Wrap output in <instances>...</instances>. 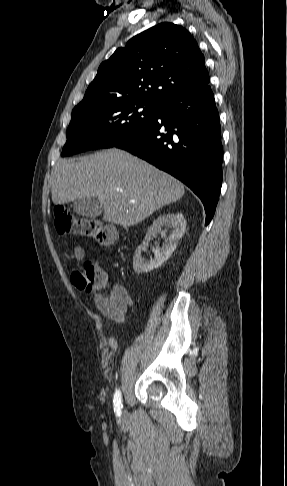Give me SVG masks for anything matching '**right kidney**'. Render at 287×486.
I'll list each match as a JSON object with an SVG mask.
<instances>
[{
  "label": "right kidney",
  "instance_id": "right-kidney-1",
  "mask_svg": "<svg viewBox=\"0 0 287 486\" xmlns=\"http://www.w3.org/2000/svg\"><path fill=\"white\" fill-rule=\"evenodd\" d=\"M173 228L172 233L167 237L166 243L162 248L154 250V258L146 261L142 258L141 253L151 237L162 234V227ZM186 229V221L181 213H169L159 216L148 229L143 244L140 245L133 257V269L136 273H148L151 270L160 267L169 259L176 249L179 239L183 236Z\"/></svg>",
  "mask_w": 287,
  "mask_h": 486
}]
</instances>
